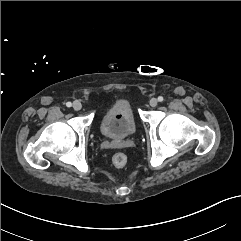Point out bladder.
I'll return each instance as SVG.
<instances>
[{
  "instance_id": "1",
  "label": "bladder",
  "mask_w": 241,
  "mask_h": 241,
  "mask_svg": "<svg viewBox=\"0 0 241 241\" xmlns=\"http://www.w3.org/2000/svg\"><path fill=\"white\" fill-rule=\"evenodd\" d=\"M99 128L110 139L121 140L134 135L137 124L129 101L116 99L103 114Z\"/></svg>"
}]
</instances>
